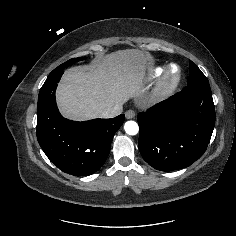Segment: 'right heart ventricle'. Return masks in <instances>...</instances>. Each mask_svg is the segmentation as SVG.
Here are the masks:
<instances>
[{
  "mask_svg": "<svg viewBox=\"0 0 236 236\" xmlns=\"http://www.w3.org/2000/svg\"><path fill=\"white\" fill-rule=\"evenodd\" d=\"M163 71H164L163 68H157V69L155 70V73H156V75H160Z\"/></svg>",
  "mask_w": 236,
  "mask_h": 236,
  "instance_id": "right-heart-ventricle-1",
  "label": "right heart ventricle"
}]
</instances>
